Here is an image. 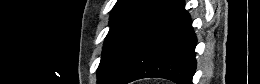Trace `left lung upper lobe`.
<instances>
[{
    "label": "left lung upper lobe",
    "mask_w": 260,
    "mask_h": 84,
    "mask_svg": "<svg viewBox=\"0 0 260 84\" xmlns=\"http://www.w3.org/2000/svg\"><path fill=\"white\" fill-rule=\"evenodd\" d=\"M160 0H118L110 16V30L106 36L97 82L103 84L117 57L132 35Z\"/></svg>",
    "instance_id": "obj_1"
}]
</instances>
